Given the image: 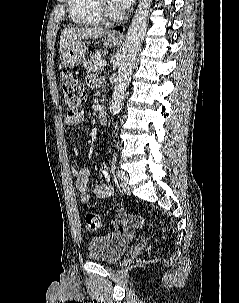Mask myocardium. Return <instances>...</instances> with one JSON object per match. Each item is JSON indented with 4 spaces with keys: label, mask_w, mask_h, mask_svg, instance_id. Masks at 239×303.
I'll return each instance as SVG.
<instances>
[{
    "label": "myocardium",
    "mask_w": 239,
    "mask_h": 303,
    "mask_svg": "<svg viewBox=\"0 0 239 303\" xmlns=\"http://www.w3.org/2000/svg\"><path fill=\"white\" fill-rule=\"evenodd\" d=\"M96 10L100 14V16L107 20H117L119 19L122 14L118 10H114L111 8L106 0H93Z\"/></svg>",
    "instance_id": "f54148a6"
}]
</instances>
